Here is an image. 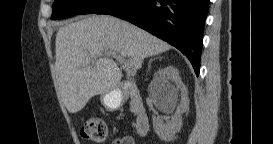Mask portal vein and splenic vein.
Returning a JSON list of instances; mask_svg holds the SVG:
<instances>
[{
    "instance_id": "1",
    "label": "portal vein and splenic vein",
    "mask_w": 273,
    "mask_h": 144,
    "mask_svg": "<svg viewBox=\"0 0 273 144\" xmlns=\"http://www.w3.org/2000/svg\"><path fill=\"white\" fill-rule=\"evenodd\" d=\"M107 55L113 57L118 62H120L130 75L133 76L135 74V70L132 69V65H131L130 61L124 59L122 55H119L118 53L112 52V51H108Z\"/></svg>"
}]
</instances>
